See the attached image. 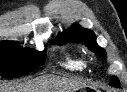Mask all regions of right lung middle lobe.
Listing matches in <instances>:
<instances>
[{
  "label": "right lung middle lobe",
  "instance_id": "right-lung-middle-lobe-1",
  "mask_svg": "<svg viewBox=\"0 0 127 92\" xmlns=\"http://www.w3.org/2000/svg\"><path fill=\"white\" fill-rule=\"evenodd\" d=\"M45 51L22 49L15 42L0 43V75L4 78L24 76L43 65Z\"/></svg>",
  "mask_w": 127,
  "mask_h": 92
}]
</instances>
